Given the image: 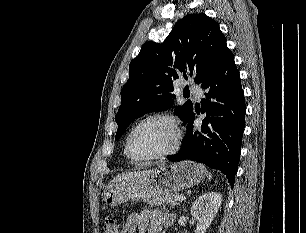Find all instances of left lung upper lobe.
<instances>
[{
	"mask_svg": "<svg viewBox=\"0 0 306 233\" xmlns=\"http://www.w3.org/2000/svg\"><path fill=\"white\" fill-rule=\"evenodd\" d=\"M228 51L218 23L204 13L179 20L164 42L145 43L131 61L129 79L121 90L122 103L115 116L118 124L115 140L136 118L172 107L176 97L172 94L175 79L194 76V81L202 84ZM192 111L190 100L175 108V113L185 122Z\"/></svg>",
	"mask_w": 306,
	"mask_h": 233,
	"instance_id": "left-lung-upper-lobe-1",
	"label": "left lung upper lobe"
}]
</instances>
